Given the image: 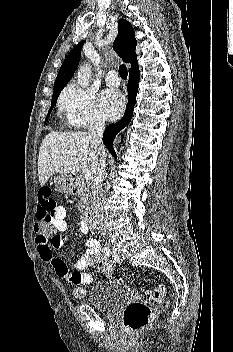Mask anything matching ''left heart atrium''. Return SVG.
<instances>
[{"label": "left heart atrium", "instance_id": "obj_1", "mask_svg": "<svg viewBox=\"0 0 233 352\" xmlns=\"http://www.w3.org/2000/svg\"><path fill=\"white\" fill-rule=\"evenodd\" d=\"M99 105L107 118L115 119L124 109V97L117 90H104L99 96Z\"/></svg>", "mask_w": 233, "mask_h": 352}]
</instances>
